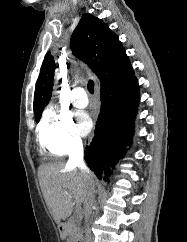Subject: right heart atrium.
Wrapping results in <instances>:
<instances>
[{"label": "right heart atrium", "instance_id": "d8ad5b80", "mask_svg": "<svg viewBox=\"0 0 187 242\" xmlns=\"http://www.w3.org/2000/svg\"><path fill=\"white\" fill-rule=\"evenodd\" d=\"M38 137L41 147L54 156H65L82 146L72 116L54 107L45 110L39 124Z\"/></svg>", "mask_w": 187, "mask_h": 242}]
</instances>
